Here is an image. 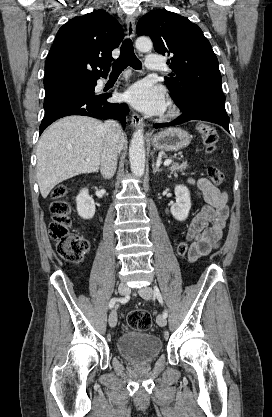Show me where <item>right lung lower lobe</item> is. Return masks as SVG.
<instances>
[{"instance_id":"obj_1","label":"right lung lower lobe","mask_w":272,"mask_h":417,"mask_svg":"<svg viewBox=\"0 0 272 417\" xmlns=\"http://www.w3.org/2000/svg\"><path fill=\"white\" fill-rule=\"evenodd\" d=\"M96 81L97 79L85 83V89L62 92L45 101V116L39 127L40 134L55 120L69 115L117 119L125 127L128 106L108 102L107 99L111 97L109 94H96Z\"/></svg>"}]
</instances>
